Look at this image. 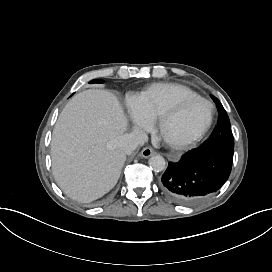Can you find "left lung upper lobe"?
Segmentation results:
<instances>
[{
	"mask_svg": "<svg viewBox=\"0 0 272 272\" xmlns=\"http://www.w3.org/2000/svg\"><path fill=\"white\" fill-rule=\"evenodd\" d=\"M212 99L216 103L219 112V121L212 136L201 147H222L233 150L234 138L230 128L229 117L220 101L214 96H212Z\"/></svg>",
	"mask_w": 272,
	"mask_h": 272,
	"instance_id": "left-lung-upper-lobe-1",
	"label": "left lung upper lobe"
}]
</instances>
